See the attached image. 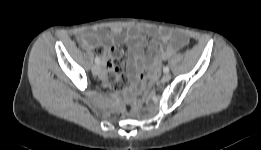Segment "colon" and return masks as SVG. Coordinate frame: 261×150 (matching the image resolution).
Segmentation results:
<instances>
[{
    "instance_id": "colon-1",
    "label": "colon",
    "mask_w": 261,
    "mask_h": 150,
    "mask_svg": "<svg viewBox=\"0 0 261 150\" xmlns=\"http://www.w3.org/2000/svg\"><path fill=\"white\" fill-rule=\"evenodd\" d=\"M152 76L153 73L150 71L142 74L139 86L132 93V106L134 108H139L145 103L148 95V84Z\"/></svg>"
}]
</instances>
